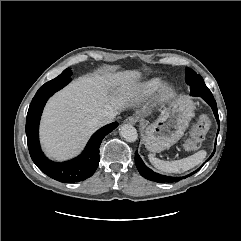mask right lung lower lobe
Wrapping results in <instances>:
<instances>
[{
    "instance_id": "1",
    "label": "right lung lower lobe",
    "mask_w": 241,
    "mask_h": 241,
    "mask_svg": "<svg viewBox=\"0 0 241 241\" xmlns=\"http://www.w3.org/2000/svg\"><path fill=\"white\" fill-rule=\"evenodd\" d=\"M52 95L35 96L30 104L26 120L27 144L30 156L43 173L57 181L69 183L83 181L92 176L97 169L102 139L115 129L118 123L113 122L95 132L85 150L78 157L63 163L52 162L41 151L38 134L43 108Z\"/></svg>"
}]
</instances>
